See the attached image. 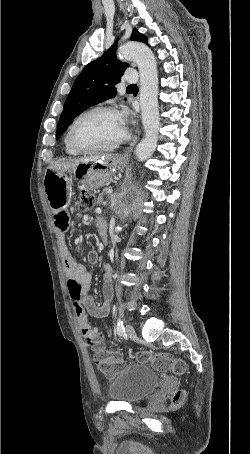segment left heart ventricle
<instances>
[{"label": "left heart ventricle", "instance_id": "1", "mask_svg": "<svg viewBox=\"0 0 250 454\" xmlns=\"http://www.w3.org/2000/svg\"><path fill=\"white\" fill-rule=\"evenodd\" d=\"M123 131V122L118 114L100 111L85 117L77 125L74 138L83 147H99L114 142Z\"/></svg>", "mask_w": 250, "mask_h": 454}]
</instances>
